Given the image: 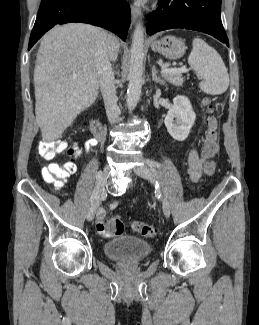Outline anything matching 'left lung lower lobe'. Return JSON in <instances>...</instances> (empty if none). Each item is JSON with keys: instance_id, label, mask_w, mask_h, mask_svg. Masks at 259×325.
I'll list each match as a JSON object with an SVG mask.
<instances>
[{"instance_id": "left-lung-lower-lobe-1", "label": "left lung lower lobe", "mask_w": 259, "mask_h": 325, "mask_svg": "<svg viewBox=\"0 0 259 325\" xmlns=\"http://www.w3.org/2000/svg\"><path fill=\"white\" fill-rule=\"evenodd\" d=\"M220 10L221 0H160L148 18L147 33L185 28L210 34L229 46Z\"/></svg>"}]
</instances>
